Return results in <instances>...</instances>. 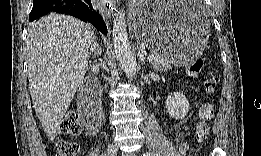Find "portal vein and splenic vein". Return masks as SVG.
<instances>
[{"instance_id": "1", "label": "portal vein and splenic vein", "mask_w": 261, "mask_h": 156, "mask_svg": "<svg viewBox=\"0 0 261 156\" xmlns=\"http://www.w3.org/2000/svg\"><path fill=\"white\" fill-rule=\"evenodd\" d=\"M147 59L149 62H152L153 60L156 59V57L154 55H149Z\"/></svg>"}]
</instances>
